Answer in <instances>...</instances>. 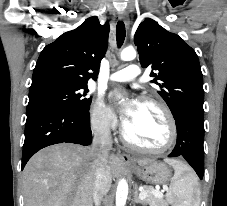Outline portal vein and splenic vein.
I'll list each match as a JSON object with an SVG mask.
<instances>
[{"instance_id":"obj_1","label":"portal vein and splenic vein","mask_w":227,"mask_h":206,"mask_svg":"<svg viewBox=\"0 0 227 206\" xmlns=\"http://www.w3.org/2000/svg\"><path fill=\"white\" fill-rule=\"evenodd\" d=\"M163 189H164V190H168L167 186H163ZM152 193H153L155 196H157V197H163L162 192L159 191V190H157V189H154V190L152 191ZM146 196H147V192H145V191H143V190H142V191L140 192V194H139V198H140L141 200L145 199Z\"/></svg>"}]
</instances>
